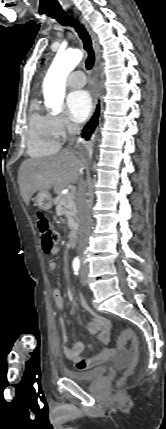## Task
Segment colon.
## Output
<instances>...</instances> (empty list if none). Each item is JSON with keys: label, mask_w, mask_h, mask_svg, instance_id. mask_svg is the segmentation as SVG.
I'll list each match as a JSON object with an SVG mask.
<instances>
[{"label": "colon", "mask_w": 166, "mask_h": 429, "mask_svg": "<svg viewBox=\"0 0 166 429\" xmlns=\"http://www.w3.org/2000/svg\"><path fill=\"white\" fill-rule=\"evenodd\" d=\"M37 226L42 240V249L45 253H49L50 250L59 243L60 236L58 232L51 227L48 220L41 214L38 215ZM128 343L131 344L133 358L125 376L132 373L137 362V339L134 332L129 329L122 331L116 341L119 349H124Z\"/></svg>", "instance_id": "1"}]
</instances>
